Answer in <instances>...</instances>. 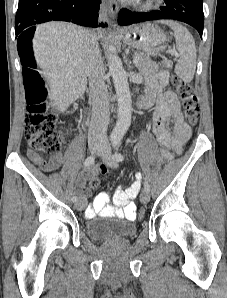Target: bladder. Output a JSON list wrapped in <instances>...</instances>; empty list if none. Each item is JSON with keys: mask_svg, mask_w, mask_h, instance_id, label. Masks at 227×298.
<instances>
[{"mask_svg": "<svg viewBox=\"0 0 227 298\" xmlns=\"http://www.w3.org/2000/svg\"><path fill=\"white\" fill-rule=\"evenodd\" d=\"M136 232L137 225L134 221L119 218L92 219L85 226L87 237L98 242L127 239Z\"/></svg>", "mask_w": 227, "mask_h": 298, "instance_id": "bladder-1", "label": "bladder"}]
</instances>
